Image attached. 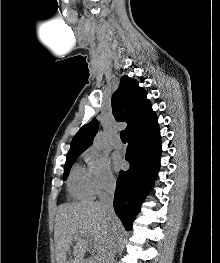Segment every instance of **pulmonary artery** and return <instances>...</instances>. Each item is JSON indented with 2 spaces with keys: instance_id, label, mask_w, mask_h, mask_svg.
I'll return each instance as SVG.
<instances>
[{
  "instance_id": "pulmonary-artery-1",
  "label": "pulmonary artery",
  "mask_w": 220,
  "mask_h": 263,
  "mask_svg": "<svg viewBox=\"0 0 220 263\" xmlns=\"http://www.w3.org/2000/svg\"><path fill=\"white\" fill-rule=\"evenodd\" d=\"M114 147H115V148H118V149H120V148L123 147V143H122V141L120 140L119 137L116 138V140L114 141Z\"/></svg>"
}]
</instances>
